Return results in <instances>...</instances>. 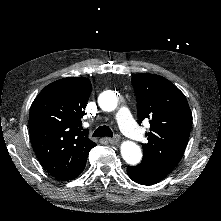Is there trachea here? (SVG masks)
I'll return each instance as SVG.
<instances>
[{
	"label": "trachea",
	"instance_id": "obj_1",
	"mask_svg": "<svg viewBox=\"0 0 221 221\" xmlns=\"http://www.w3.org/2000/svg\"><path fill=\"white\" fill-rule=\"evenodd\" d=\"M93 137H112L113 132L107 125L99 126L93 133Z\"/></svg>",
	"mask_w": 221,
	"mask_h": 221
}]
</instances>
